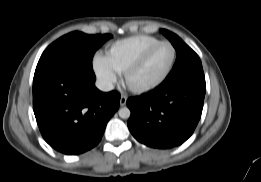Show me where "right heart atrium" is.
Here are the masks:
<instances>
[{
  "instance_id": "right-heart-atrium-1",
  "label": "right heart atrium",
  "mask_w": 261,
  "mask_h": 182,
  "mask_svg": "<svg viewBox=\"0 0 261 182\" xmlns=\"http://www.w3.org/2000/svg\"><path fill=\"white\" fill-rule=\"evenodd\" d=\"M93 69L101 85L112 87L118 80V72L112 67L106 56L97 53L93 57Z\"/></svg>"
}]
</instances>
